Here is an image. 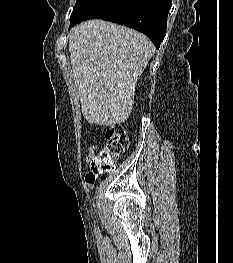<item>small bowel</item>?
<instances>
[{
  "mask_svg": "<svg viewBox=\"0 0 233 263\" xmlns=\"http://www.w3.org/2000/svg\"><path fill=\"white\" fill-rule=\"evenodd\" d=\"M96 151H97V146L92 144L88 148V153L86 156V161L91 162L95 157H96Z\"/></svg>",
  "mask_w": 233,
  "mask_h": 263,
  "instance_id": "1",
  "label": "small bowel"
}]
</instances>
